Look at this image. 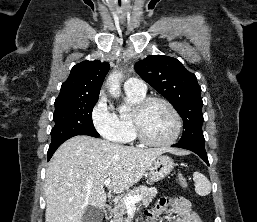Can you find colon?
<instances>
[{
	"label": "colon",
	"instance_id": "obj_1",
	"mask_svg": "<svg viewBox=\"0 0 257 222\" xmlns=\"http://www.w3.org/2000/svg\"><path fill=\"white\" fill-rule=\"evenodd\" d=\"M178 182L181 188L186 189L188 187V181L183 175H179Z\"/></svg>",
	"mask_w": 257,
	"mask_h": 222
}]
</instances>
